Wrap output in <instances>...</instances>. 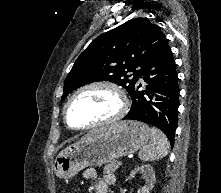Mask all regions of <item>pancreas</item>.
<instances>
[{"instance_id": "pancreas-1", "label": "pancreas", "mask_w": 221, "mask_h": 193, "mask_svg": "<svg viewBox=\"0 0 221 193\" xmlns=\"http://www.w3.org/2000/svg\"><path fill=\"white\" fill-rule=\"evenodd\" d=\"M119 168L118 161L113 160L104 167V174L114 173Z\"/></svg>"}]
</instances>
